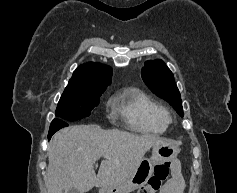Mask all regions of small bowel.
Instances as JSON below:
<instances>
[{"mask_svg": "<svg viewBox=\"0 0 237 193\" xmlns=\"http://www.w3.org/2000/svg\"><path fill=\"white\" fill-rule=\"evenodd\" d=\"M184 190L185 181L182 177L180 167L173 163L172 177L165 183L160 193H184Z\"/></svg>", "mask_w": 237, "mask_h": 193, "instance_id": "c3829d8e", "label": "small bowel"}]
</instances>
